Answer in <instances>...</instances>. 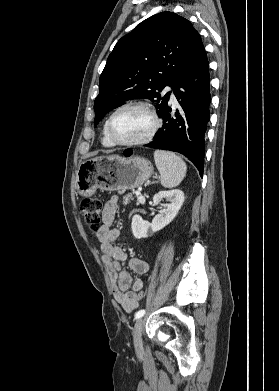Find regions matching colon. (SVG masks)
I'll return each instance as SVG.
<instances>
[{
  "instance_id": "obj_1",
  "label": "colon",
  "mask_w": 279,
  "mask_h": 391,
  "mask_svg": "<svg viewBox=\"0 0 279 391\" xmlns=\"http://www.w3.org/2000/svg\"><path fill=\"white\" fill-rule=\"evenodd\" d=\"M81 213L88 229L97 234L102 221L103 204L99 199L87 198L81 202ZM138 301L144 298V292L141 290L138 293Z\"/></svg>"
}]
</instances>
